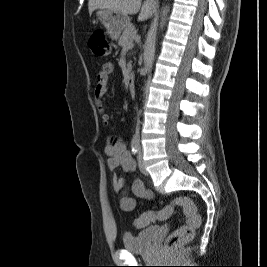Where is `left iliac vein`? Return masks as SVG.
<instances>
[{
    "mask_svg": "<svg viewBox=\"0 0 267 267\" xmlns=\"http://www.w3.org/2000/svg\"><path fill=\"white\" fill-rule=\"evenodd\" d=\"M138 165H139V169L140 171L145 174V175H148V171L146 170V167L144 165V162H143V157H142V151L141 149L139 148V152H138Z\"/></svg>",
    "mask_w": 267,
    "mask_h": 267,
    "instance_id": "1",
    "label": "left iliac vein"
}]
</instances>
